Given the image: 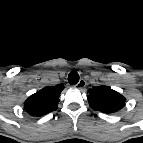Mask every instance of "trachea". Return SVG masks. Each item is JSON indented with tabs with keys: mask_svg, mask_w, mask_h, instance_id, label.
<instances>
[{
	"mask_svg": "<svg viewBox=\"0 0 143 143\" xmlns=\"http://www.w3.org/2000/svg\"><path fill=\"white\" fill-rule=\"evenodd\" d=\"M68 82L70 85H75L79 82V74L76 71H71L68 75Z\"/></svg>",
	"mask_w": 143,
	"mask_h": 143,
	"instance_id": "1",
	"label": "trachea"
}]
</instances>
